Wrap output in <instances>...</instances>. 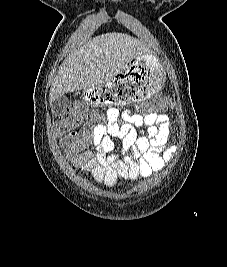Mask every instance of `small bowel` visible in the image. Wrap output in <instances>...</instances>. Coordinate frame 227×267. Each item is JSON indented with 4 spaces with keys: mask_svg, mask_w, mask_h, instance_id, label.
Listing matches in <instances>:
<instances>
[{
    "mask_svg": "<svg viewBox=\"0 0 227 267\" xmlns=\"http://www.w3.org/2000/svg\"><path fill=\"white\" fill-rule=\"evenodd\" d=\"M65 132L61 146L66 158L107 188H113L120 179L151 177L165 167L175 152L169 142L173 126L163 113L146 115L112 107L95 126ZM113 138L121 140V155L110 154Z\"/></svg>",
    "mask_w": 227,
    "mask_h": 267,
    "instance_id": "c3829d8e",
    "label": "small bowel"
}]
</instances>
